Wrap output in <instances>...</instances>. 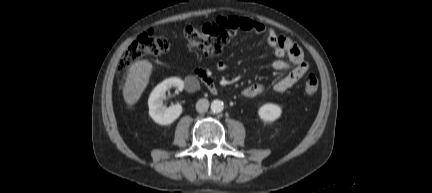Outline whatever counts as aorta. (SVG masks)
Returning a JSON list of instances; mask_svg holds the SVG:
<instances>
[{
  "label": "aorta",
  "instance_id": "obj_1",
  "mask_svg": "<svg viewBox=\"0 0 432 193\" xmlns=\"http://www.w3.org/2000/svg\"><path fill=\"white\" fill-rule=\"evenodd\" d=\"M223 109H224V104H223V102L221 100H214L211 103V110H212V112H214V113H220V112L223 111Z\"/></svg>",
  "mask_w": 432,
  "mask_h": 193
}]
</instances>
